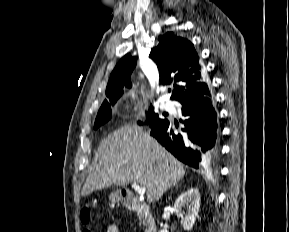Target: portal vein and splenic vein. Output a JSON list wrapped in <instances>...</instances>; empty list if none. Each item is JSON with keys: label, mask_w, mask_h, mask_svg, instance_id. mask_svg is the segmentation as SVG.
I'll list each match as a JSON object with an SVG mask.
<instances>
[{"label": "portal vein and splenic vein", "mask_w": 289, "mask_h": 232, "mask_svg": "<svg viewBox=\"0 0 289 232\" xmlns=\"http://www.w3.org/2000/svg\"><path fill=\"white\" fill-rule=\"evenodd\" d=\"M132 188L140 195L143 196L146 192V188L139 186L137 183L132 184Z\"/></svg>", "instance_id": "portal-vein-and-splenic-vein-1"}]
</instances>
